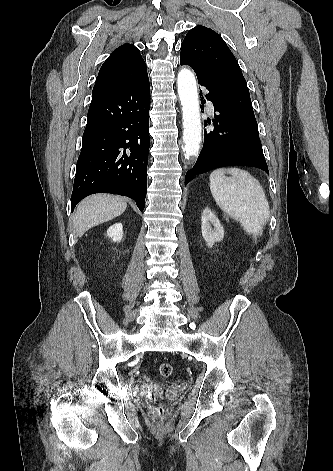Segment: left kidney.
<instances>
[{
    "label": "left kidney",
    "instance_id": "left-kidney-1",
    "mask_svg": "<svg viewBox=\"0 0 333 471\" xmlns=\"http://www.w3.org/2000/svg\"><path fill=\"white\" fill-rule=\"evenodd\" d=\"M201 232L207 246L212 247L215 242L224 238V229L216 214L209 208H205L201 217Z\"/></svg>",
    "mask_w": 333,
    "mask_h": 471
}]
</instances>
